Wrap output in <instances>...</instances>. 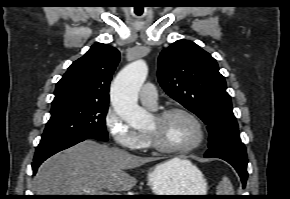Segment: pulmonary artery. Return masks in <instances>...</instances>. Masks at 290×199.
I'll list each match as a JSON object with an SVG mask.
<instances>
[{
  "instance_id": "e3ab8cb5",
  "label": "pulmonary artery",
  "mask_w": 290,
  "mask_h": 199,
  "mask_svg": "<svg viewBox=\"0 0 290 199\" xmlns=\"http://www.w3.org/2000/svg\"><path fill=\"white\" fill-rule=\"evenodd\" d=\"M141 103L149 108H155L158 100L156 88L151 83H146L139 91Z\"/></svg>"
}]
</instances>
